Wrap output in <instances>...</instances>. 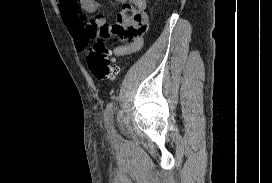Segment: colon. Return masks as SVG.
<instances>
[{"label":"colon","mask_w":272,"mask_h":183,"mask_svg":"<svg viewBox=\"0 0 272 183\" xmlns=\"http://www.w3.org/2000/svg\"><path fill=\"white\" fill-rule=\"evenodd\" d=\"M115 25V24H111ZM125 31V30H110ZM108 39H97L85 53L89 71L99 81L113 80L119 68L107 47Z\"/></svg>","instance_id":"1"}]
</instances>
